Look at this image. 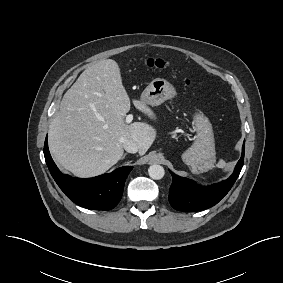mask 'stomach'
I'll use <instances>...</instances> for the list:
<instances>
[{
    "label": "stomach",
    "instance_id": "1",
    "mask_svg": "<svg viewBox=\"0 0 283 283\" xmlns=\"http://www.w3.org/2000/svg\"><path fill=\"white\" fill-rule=\"evenodd\" d=\"M177 95L175 87L164 78L152 80L141 94L146 105L158 106ZM192 125L196 131L195 141L182 154V160L193 172L205 171L215 160V141L213 127L202 112L193 115Z\"/></svg>",
    "mask_w": 283,
    "mask_h": 283
}]
</instances>
